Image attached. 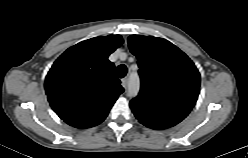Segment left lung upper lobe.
I'll return each mask as SVG.
<instances>
[{
  "instance_id": "left-lung-upper-lobe-1",
  "label": "left lung upper lobe",
  "mask_w": 248,
  "mask_h": 158,
  "mask_svg": "<svg viewBox=\"0 0 248 158\" xmlns=\"http://www.w3.org/2000/svg\"><path fill=\"white\" fill-rule=\"evenodd\" d=\"M130 51L138 58L141 88L130 101L132 112L143 125L166 129L181 122L194 107L200 74L190 58L169 41L131 35Z\"/></svg>"
}]
</instances>
